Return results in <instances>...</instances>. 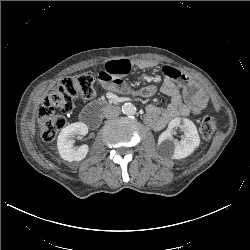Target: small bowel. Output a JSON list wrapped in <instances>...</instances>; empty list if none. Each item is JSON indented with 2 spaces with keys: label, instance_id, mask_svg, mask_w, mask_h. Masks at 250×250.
<instances>
[{
  "label": "small bowel",
  "instance_id": "1",
  "mask_svg": "<svg viewBox=\"0 0 250 250\" xmlns=\"http://www.w3.org/2000/svg\"><path fill=\"white\" fill-rule=\"evenodd\" d=\"M149 65V62L136 64L129 60L109 61L99 72L98 79L102 86L108 90L132 92L142 97H150L157 91L156 86L148 85L131 91L122 79L136 66L146 68ZM162 72L164 81L160 90L171 98V103L166 107L147 106L146 122L155 130L163 129L176 118L199 115L207 104L204 93L186 74L169 66H164Z\"/></svg>",
  "mask_w": 250,
  "mask_h": 250
}]
</instances>
